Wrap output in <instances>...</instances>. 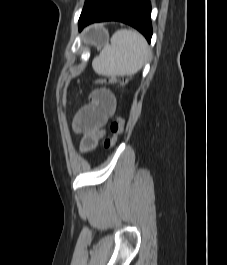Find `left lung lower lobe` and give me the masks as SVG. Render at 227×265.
<instances>
[{"label":"left lung lower lobe","instance_id":"0a47b994","mask_svg":"<svg viewBox=\"0 0 227 265\" xmlns=\"http://www.w3.org/2000/svg\"><path fill=\"white\" fill-rule=\"evenodd\" d=\"M149 0H106L90 16L79 22V31L101 21H121L139 30L150 42L152 37Z\"/></svg>","mask_w":227,"mask_h":265}]
</instances>
